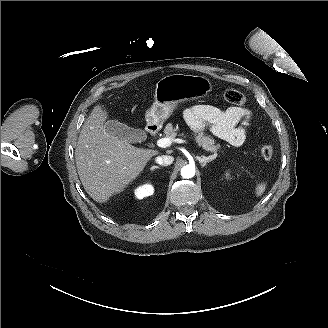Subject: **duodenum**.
<instances>
[{
    "label": "duodenum",
    "instance_id": "duodenum-1",
    "mask_svg": "<svg viewBox=\"0 0 328 328\" xmlns=\"http://www.w3.org/2000/svg\"><path fill=\"white\" fill-rule=\"evenodd\" d=\"M154 133H155V129H154L153 127H149V128L147 129V134H148L149 136H152Z\"/></svg>",
    "mask_w": 328,
    "mask_h": 328
}]
</instances>
